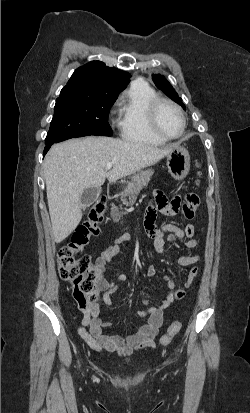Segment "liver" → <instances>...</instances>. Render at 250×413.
I'll return each instance as SVG.
<instances>
[{
    "label": "liver",
    "instance_id": "obj_1",
    "mask_svg": "<svg viewBox=\"0 0 250 413\" xmlns=\"http://www.w3.org/2000/svg\"><path fill=\"white\" fill-rule=\"evenodd\" d=\"M175 149L111 137L88 136L55 144L44 161V177L56 243L66 239L82 219L81 195L151 166ZM108 163L112 169L106 170Z\"/></svg>",
    "mask_w": 250,
    "mask_h": 413
}]
</instances>
